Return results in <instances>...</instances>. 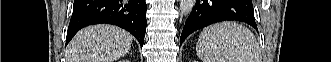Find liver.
<instances>
[{"mask_svg":"<svg viewBox=\"0 0 331 62\" xmlns=\"http://www.w3.org/2000/svg\"><path fill=\"white\" fill-rule=\"evenodd\" d=\"M132 36L125 30L99 24L82 29L68 45L67 62H114L127 54Z\"/></svg>","mask_w":331,"mask_h":62,"instance_id":"6515ba94","label":"liver"}]
</instances>
